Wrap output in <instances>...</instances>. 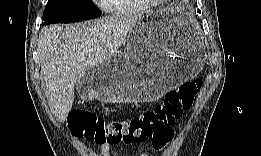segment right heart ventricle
Listing matches in <instances>:
<instances>
[{
    "label": "right heart ventricle",
    "instance_id": "obj_1",
    "mask_svg": "<svg viewBox=\"0 0 261 156\" xmlns=\"http://www.w3.org/2000/svg\"><path fill=\"white\" fill-rule=\"evenodd\" d=\"M127 2V0H109V9H113L116 11H123L129 9L130 5Z\"/></svg>",
    "mask_w": 261,
    "mask_h": 156
}]
</instances>
